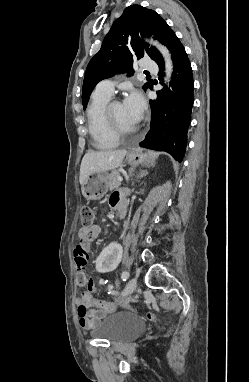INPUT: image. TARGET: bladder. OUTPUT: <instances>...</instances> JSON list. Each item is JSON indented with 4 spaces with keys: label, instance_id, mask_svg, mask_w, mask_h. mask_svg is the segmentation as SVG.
<instances>
[{
    "label": "bladder",
    "instance_id": "bladder-1",
    "mask_svg": "<svg viewBox=\"0 0 249 382\" xmlns=\"http://www.w3.org/2000/svg\"><path fill=\"white\" fill-rule=\"evenodd\" d=\"M143 319L135 313L113 314L105 317L92 329L91 335L111 343L131 340L144 329Z\"/></svg>",
    "mask_w": 249,
    "mask_h": 382
}]
</instances>
